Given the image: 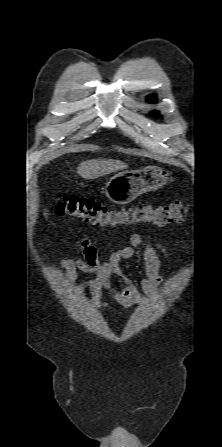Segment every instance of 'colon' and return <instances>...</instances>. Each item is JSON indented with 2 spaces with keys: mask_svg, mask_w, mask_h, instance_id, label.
I'll return each mask as SVG.
<instances>
[{
  "mask_svg": "<svg viewBox=\"0 0 222 447\" xmlns=\"http://www.w3.org/2000/svg\"><path fill=\"white\" fill-rule=\"evenodd\" d=\"M184 211L185 205L181 200L158 208L148 205L117 208L92 198L67 196L54 205V212L58 216L72 217L85 224L100 227L138 224H154L164 227L180 222Z\"/></svg>",
  "mask_w": 222,
  "mask_h": 447,
  "instance_id": "colon-1",
  "label": "colon"
}]
</instances>
